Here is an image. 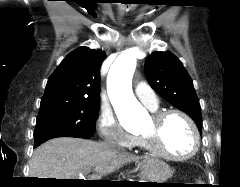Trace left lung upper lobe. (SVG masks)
Segmentation results:
<instances>
[{
  "instance_id": "obj_1",
  "label": "left lung upper lobe",
  "mask_w": 240,
  "mask_h": 187,
  "mask_svg": "<svg viewBox=\"0 0 240 187\" xmlns=\"http://www.w3.org/2000/svg\"><path fill=\"white\" fill-rule=\"evenodd\" d=\"M145 73L151 87L171 105L189 114L201 132L199 99L181 61L168 51L153 52L146 59Z\"/></svg>"
}]
</instances>
